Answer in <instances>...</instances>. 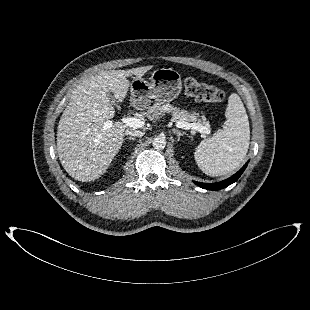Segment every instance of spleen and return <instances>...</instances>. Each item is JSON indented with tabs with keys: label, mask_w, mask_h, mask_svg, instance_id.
Instances as JSON below:
<instances>
[{
	"label": "spleen",
	"mask_w": 310,
	"mask_h": 310,
	"mask_svg": "<svg viewBox=\"0 0 310 310\" xmlns=\"http://www.w3.org/2000/svg\"><path fill=\"white\" fill-rule=\"evenodd\" d=\"M228 123L195 149L198 167L209 176L235 170L245 158L250 143L249 120L241 98L233 93L225 112Z\"/></svg>",
	"instance_id": "obj_1"
}]
</instances>
